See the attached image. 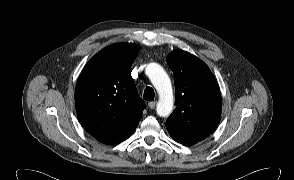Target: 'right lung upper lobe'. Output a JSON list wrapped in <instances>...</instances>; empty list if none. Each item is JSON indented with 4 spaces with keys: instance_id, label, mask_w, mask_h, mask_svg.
<instances>
[{
    "instance_id": "right-lung-upper-lobe-1",
    "label": "right lung upper lobe",
    "mask_w": 294,
    "mask_h": 180,
    "mask_svg": "<svg viewBox=\"0 0 294 180\" xmlns=\"http://www.w3.org/2000/svg\"><path fill=\"white\" fill-rule=\"evenodd\" d=\"M139 50L133 43L108 46L90 59L78 79V117L87 132L101 143L122 141L141 119L145 105L130 73Z\"/></svg>"
}]
</instances>
